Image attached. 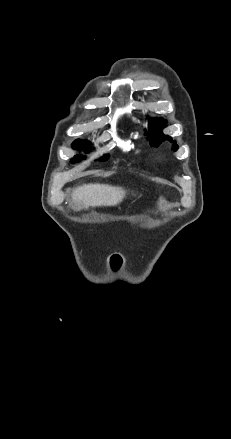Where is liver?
I'll return each mask as SVG.
<instances>
[{"label":"liver","instance_id":"6515ba94","mask_svg":"<svg viewBox=\"0 0 231 439\" xmlns=\"http://www.w3.org/2000/svg\"><path fill=\"white\" fill-rule=\"evenodd\" d=\"M125 196L126 191L123 188L99 183L85 184L71 194L73 203L85 209L89 206H116Z\"/></svg>","mask_w":231,"mask_h":439}]
</instances>
